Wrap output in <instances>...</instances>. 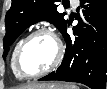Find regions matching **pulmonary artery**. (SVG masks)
I'll return each instance as SVG.
<instances>
[{"label": "pulmonary artery", "instance_id": "1", "mask_svg": "<svg viewBox=\"0 0 107 89\" xmlns=\"http://www.w3.org/2000/svg\"><path fill=\"white\" fill-rule=\"evenodd\" d=\"M71 3L73 4V6L77 5V0H72Z\"/></svg>", "mask_w": 107, "mask_h": 89}]
</instances>
